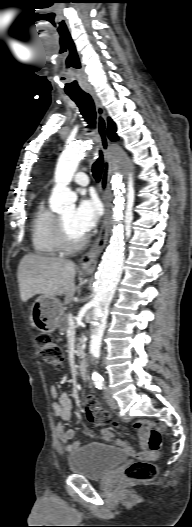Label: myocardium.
Instances as JSON below:
<instances>
[{"label": "myocardium", "mask_w": 192, "mask_h": 527, "mask_svg": "<svg viewBox=\"0 0 192 527\" xmlns=\"http://www.w3.org/2000/svg\"><path fill=\"white\" fill-rule=\"evenodd\" d=\"M56 235L61 250L66 252L77 251L87 242V239L84 236L77 241L70 240L60 216H56Z\"/></svg>", "instance_id": "obj_1"}]
</instances>
